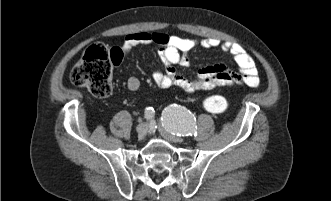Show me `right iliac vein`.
<instances>
[{
  "instance_id": "obj_1",
  "label": "right iliac vein",
  "mask_w": 331,
  "mask_h": 201,
  "mask_svg": "<svg viewBox=\"0 0 331 201\" xmlns=\"http://www.w3.org/2000/svg\"><path fill=\"white\" fill-rule=\"evenodd\" d=\"M148 125L146 123H141L137 126L136 131L140 136H144L147 131Z\"/></svg>"
}]
</instances>
